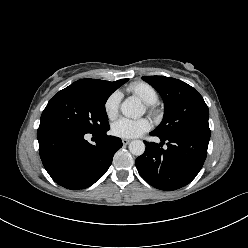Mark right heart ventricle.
I'll list each match as a JSON object with an SVG mask.
<instances>
[{
  "mask_svg": "<svg viewBox=\"0 0 248 248\" xmlns=\"http://www.w3.org/2000/svg\"><path fill=\"white\" fill-rule=\"evenodd\" d=\"M127 91L137 96L147 105L156 104L159 98L155 88L146 82H134L127 87Z\"/></svg>",
  "mask_w": 248,
  "mask_h": 248,
  "instance_id": "right-heart-ventricle-1",
  "label": "right heart ventricle"
}]
</instances>
